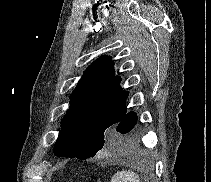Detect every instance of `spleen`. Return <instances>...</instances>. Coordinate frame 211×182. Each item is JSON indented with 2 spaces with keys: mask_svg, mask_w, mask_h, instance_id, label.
Instances as JSON below:
<instances>
[{
  "mask_svg": "<svg viewBox=\"0 0 211 182\" xmlns=\"http://www.w3.org/2000/svg\"><path fill=\"white\" fill-rule=\"evenodd\" d=\"M111 182H140V179L134 172L122 170L112 177Z\"/></svg>",
  "mask_w": 211,
  "mask_h": 182,
  "instance_id": "spleen-1",
  "label": "spleen"
}]
</instances>
